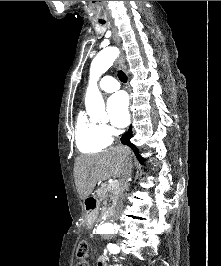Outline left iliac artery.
Masks as SVG:
<instances>
[{"label":"left iliac artery","instance_id":"obj_1","mask_svg":"<svg viewBox=\"0 0 221 266\" xmlns=\"http://www.w3.org/2000/svg\"><path fill=\"white\" fill-rule=\"evenodd\" d=\"M108 250L110 251V253L116 254V253H119L120 248L116 244L109 243Z\"/></svg>","mask_w":221,"mask_h":266}]
</instances>
